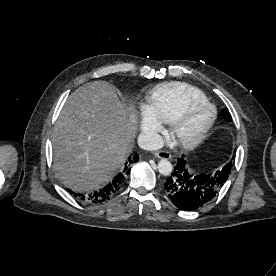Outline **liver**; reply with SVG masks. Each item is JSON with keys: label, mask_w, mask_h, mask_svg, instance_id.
Returning <instances> with one entry per match:
<instances>
[{"label": "liver", "mask_w": 276, "mask_h": 276, "mask_svg": "<svg viewBox=\"0 0 276 276\" xmlns=\"http://www.w3.org/2000/svg\"><path fill=\"white\" fill-rule=\"evenodd\" d=\"M137 115L114 86L89 82L66 100L53 132L54 168L63 184L88 192L108 182L132 150Z\"/></svg>", "instance_id": "6515ba94"}]
</instances>
